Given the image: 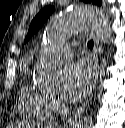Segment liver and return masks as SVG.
I'll return each mask as SVG.
<instances>
[{"mask_svg":"<svg viewBox=\"0 0 125 128\" xmlns=\"http://www.w3.org/2000/svg\"><path fill=\"white\" fill-rule=\"evenodd\" d=\"M31 127H33V126H31L29 124H23V123L16 125V128H31Z\"/></svg>","mask_w":125,"mask_h":128,"instance_id":"obj_1","label":"liver"}]
</instances>
